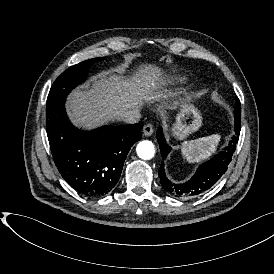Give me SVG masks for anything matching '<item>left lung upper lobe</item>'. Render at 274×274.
<instances>
[{"mask_svg":"<svg viewBox=\"0 0 274 274\" xmlns=\"http://www.w3.org/2000/svg\"><path fill=\"white\" fill-rule=\"evenodd\" d=\"M239 103H240V102H239V100L237 99V103H236V105H238ZM236 105H235V106H236Z\"/></svg>","mask_w":274,"mask_h":274,"instance_id":"1","label":"left lung upper lobe"}]
</instances>
